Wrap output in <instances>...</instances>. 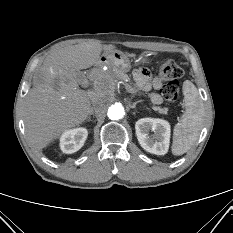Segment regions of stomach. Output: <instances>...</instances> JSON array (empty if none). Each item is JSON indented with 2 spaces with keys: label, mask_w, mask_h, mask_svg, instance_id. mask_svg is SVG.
<instances>
[{
  "label": "stomach",
  "mask_w": 233,
  "mask_h": 233,
  "mask_svg": "<svg viewBox=\"0 0 233 233\" xmlns=\"http://www.w3.org/2000/svg\"><path fill=\"white\" fill-rule=\"evenodd\" d=\"M99 60L101 64L108 65L111 68H115L123 72H128L131 68L128 55L119 50L105 53ZM140 61L142 63H147L148 59L146 56H140Z\"/></svg>",
  "instance_id": "obj_1"
}]
</instances>
